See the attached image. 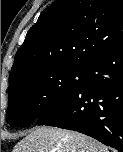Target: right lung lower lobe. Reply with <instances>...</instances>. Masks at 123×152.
<instances>
[{
	"instance_id": "98d812e1",
	"label": "right lung lower lobe",
	"mask_w": 123,
	"mask_h": 152,
	"mask_svg": "<svg viewBox=\"0 0 123 152\" xmlns=\"http://www.w3.org/2000/svg\"><path fill=\"white\" fill-rule=\"evenodd\" d=\"M36 124L77 131L123 152V43L83 68L78 89Z\"/></svg>"
}]
</instances>
